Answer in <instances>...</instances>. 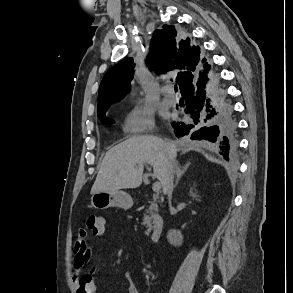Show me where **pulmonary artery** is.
Instances as JSON below:
<instances>
[{
  "label": "pulmonary artery",
  "instance_id": "obj_1",
  "mask_svg": "<svg viewBox=\"0 0 293 293\" xmlns=\"http://www.w3.org/2000/svg\"><path fill=\"white\" fill-rule=\"evenodd\" d=\"M164 98L163 101L167 104L173 105L177 102V98L173 93V89L170 86H166L163 89Z\"/></svg>",
  "mask_w": 293,
  "mask_h": 293
}]
</instances>
